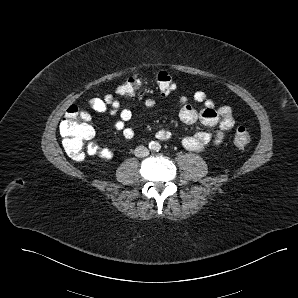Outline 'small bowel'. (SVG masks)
Listing matches in <instances>:
<instances>
[{
    "mask_svg": "<svg viewBox=\"0 0 298 298\" xmlns=\"http://www.w3.org/2000/svg\"><path fill=\"white\" fill-rule=\"evenodd\" d=\"M193 100L203 107L197 110L189 104L186 96L178 98L180 120L186 124L199 121L206 126H217V129L214 133L197 132L184 137L182 139L183 147L189 151L199 152L210 144L220 145L235 125L232 109L227 105L216 106L215 102L209 99L203 91L195 92ZM87 105L97 113L115 116L117 119L114 126L125 139L134 137L133 128L127 125L133 116V111L130 108H122L120 102L113 95L108 94L104 97L92 98L87 102ZM143 105L146 108H153L156 102L149 98L144 101ZM156 136L161 140H168L172 137V133L169 130L161 129L156 133ZM90 154L107 160L113 157V152L109 148L99 144L90 150Z\"/></svg>",
    "mask_w": 298,
    "mask_h": 298,
    "instance_id": "c3829d8e",
    "label": "small bowel"
}]
</instances>
